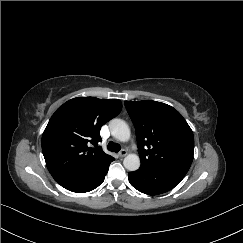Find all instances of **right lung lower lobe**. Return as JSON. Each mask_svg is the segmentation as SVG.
<instances>
[{
	"label": "right lung lower lobe",
	"mask_w": 243,
	"mask_h": 243,
	"mask_svg": "<svg viewBox=\"0 0 243 243\" xmlns=\"http://www.w3.org/2000/svg\"><path fill=\"white\" fill-rule=\"evenodd\" d=\"M112 161H114L113 157L106 158L83 173L65 177L57 182L72 192H89L103 183Z\"/></svg>",
	"instance_id": "right-lung-lower-lobe-1"
}]
</instances>
